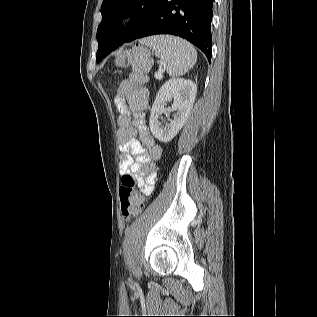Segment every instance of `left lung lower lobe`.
Segmentation results:
<instances>
[{"label":"left lung lower lobe","mask_w":317,"mask_h":317,"mask_svg":"<svg viewBox=\"0 0 317 317\" xmlns=\"http://www.w3.org/2000/svg\"><path fill=\"white\" fill-rule=\"evenodd\" d=\"M212 6L213 0H162L156 13L135 39L156 34L176 35L197 46L210 62ZM104 45L105 42L100 56L102 59L120 46L109 42Z\"/></svg>","instance_id":"obj_1"}]
</instances>
